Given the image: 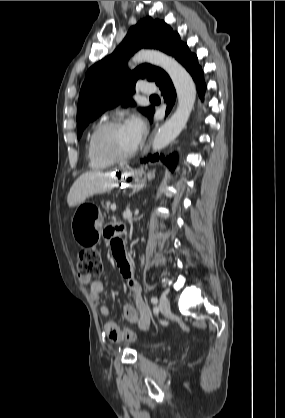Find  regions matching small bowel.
Returning <instances> with one entry per match:
<instances>
[{"label":"small bowel","mask_w":285,"mask_h":418,"mask_svg":"<svg viewBox=\"0 0 285 418\" xmlns=\"http://www.w3.org/2000/svg\"><path fill=\"white\" fill-rule=\"evenodd\" d=\"M120 232H121L120 227H110L104 231L105 238L107 239L112 250L117 244V241L120 239L119 238ZM116 263L119 268L120 274L126 280L128 292L132 296L134 303H135L134 306L131 304H124L121 309V315L125 320L131 323L137 324L141 329L148 330L150 327V322H151L150 313L141 296V288L134 275V264L129 258H126L123 262L116 261ZM79 281L82 283H87L89 282V279L80 277ZM103 290H104L103 281H100V280L93 281L90 285V296L92 300L95 302L99 301L102 297ZM99 310H100L101 315H103L104 317H109L112 314V309L109 305H102L100 306ZM107 326L105 327L106 334H107L108 339L111 342L119 343L124 339V337L119 333H115V334L110 333L107 329ZM113 326L115 328L119 327L116 324H113Z\"/></svg>","instance_id":"obj_1"}]
</instances>
